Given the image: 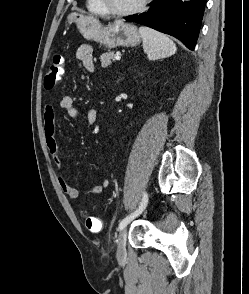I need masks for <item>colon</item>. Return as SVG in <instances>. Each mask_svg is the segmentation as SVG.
<instances>
[{"label": "colon", "instance_id": "5ec220e1", "mask_svg": "<svg viewBox=\"0 0 249 294\" xmlns=\"http://www.w3.org/2000/svg\"><path fill=\"white\" fill-rule=\"evenodd\" d=\"M64 63L65 59L61 53L53 56L44 79L46 89H52L59 84L64 72ZM84 225L91 232H99L103 227V223L99 218L90 215H84Z\"/></svg>", "mask_w": 249, "mask_h": 294}]
</instances>
